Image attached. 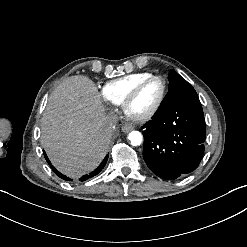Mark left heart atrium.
Segmentation results:
<instances>
[{
	"mask_svg": "<svg viewBox=\"0 0 247 247\" xmlns=\"http://www.w3.org/2000/svg\"><path fill=\"white\" fill-rule=\"evenodd\" d=\"M128 116H130V117H131L132 115H131L130 113H128Z\"/></svg>",
	"mask_w": 247,
	"mask_h": 247,
	"instance_id": "left-heart-atrium-1",
	"label": "left heart atrium"
}]
</instances>
